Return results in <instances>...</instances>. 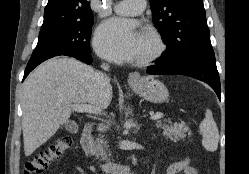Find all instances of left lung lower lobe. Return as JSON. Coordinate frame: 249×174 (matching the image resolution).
I'll return each mask as SVG.
<instances>
[{
	"mask_svg": "<svg viewBox=\"0 0 249 174\" xmlns=\"http://www.w3.org/2000/svg\"><path fill=\"white\" fill-rule=\"evenodd\" d=\"M147 72L155 75L179 74L196 78L209 84L220 99L221 86L214 54L192 57L174 64H167L160 59L158 65L148 68Z\"/></svg>",
	"mask_w": 249,
	"mask_h": 174,
	"instance_id": "obj_1",
	"label": "left lung lower lobe"
}]
</instances>
